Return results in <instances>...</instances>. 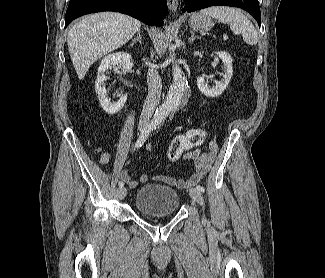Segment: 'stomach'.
<instances>
[{
	"label": "stomach",
	"instance_id": "1",
	"mask_svg": "<svg viewBox=\"0 0 325 278\" xmlns=\"http://www.w3.org/2000/svg\"><path fill=\"white\" fill-rule=\"evenodd\" d=\"M188 24L191 29L200 32L208 31L214 26L213 20L201 13H193L189 18Z\"/></svg>",
	"mask_w": 325,
	"mask_h": 278
}]
</instances>
